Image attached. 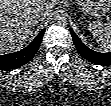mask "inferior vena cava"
I'll return each instance as SVG.
<instances>
[{
  "mask_svg": "<svg viewBox=\"0 0 111 106\" xmlns=\"http://www.w3.org/2000/svg\"><path fill=\"white\" fill-rule=\"evenodd\" d=\"M46 16L45 12H42L41 10H38L37 17L39 20L43 19Z\"/></svg>",
  "mask_w": 111,
  "mask_h": 106,
  "instance_id": "inferior-vena-cava-1",
  "label": "inferior vena cava"
}]
</instances>
